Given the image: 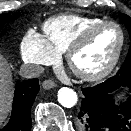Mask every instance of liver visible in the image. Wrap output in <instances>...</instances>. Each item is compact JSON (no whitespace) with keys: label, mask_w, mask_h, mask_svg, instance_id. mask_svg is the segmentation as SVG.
Wrapping results in <instances>:
<instances>
[{"label":"liver","mask_w":131,"mask_h":131,"mask_svg":"<svg viewBox=\"0 0 131 131\" xmlns=\"http://www.w3.org/2000/svg\"><path fill=\"white\" fill-rule=\"evenodd\" d=\"M12 75L8 62L0 54V124L5 120L12 100Z\"/></svg>","instance_id":"obj_1"}]
</instances>
